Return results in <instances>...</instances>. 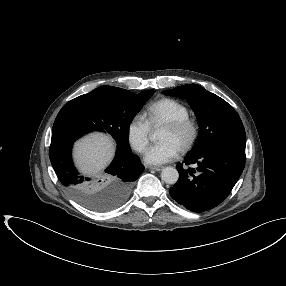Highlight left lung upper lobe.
I'll list each match as a JSON object with an SVG mask.
<instances>
[{
    "label": "left lung upper lobe",
    "instance_id": "5c2ea615",
    "mask_svg": "<svg viewBox=\"0 0 286 286\" xmlns=\"http://www.w3.org/2000/svg\"><path fill=\"white\" fill-rule=\"evenodd\" d=\"M163 93L186 99L197 116L199 135L189 154L222 145L245 149L242 121L225 100L197 84L179 86Z\"/></svg>",
    "mask_w": 286,
    "mask_h": 286
}]
</instances>
